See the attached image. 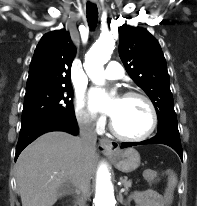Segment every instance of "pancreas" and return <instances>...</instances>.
I'll use <instances>...</instances> for the list:
<instances>
[{"label": "pancreas", "instance_id": "1", "mask_svg": "<svg viewBox=\"0 0 197 206\" xmlns=\"http://www.w3.org/2000/svg\"><path fill=\"white\" fill-rule=\"evenodd\" d=\"M120 181H121L122 185L124 186L125 193H127L129 191V188L132 186V181L128 180L127 177H121Z\"/></svg>", "mask_w": 197, "mask_h": 206}]
</instances>
